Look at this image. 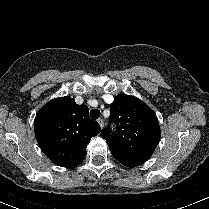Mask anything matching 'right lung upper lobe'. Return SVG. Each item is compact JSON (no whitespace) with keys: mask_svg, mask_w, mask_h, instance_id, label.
Segmentation results:
<instances>
[{"mask_svg":"<svg viewBox=\"0 0 209 209\" xmlns=\"http://www.w3.org/2000/svg\"><path fill=\"white\" fill-rule=\"evenodd\" d=\"M35 136L44 154L56 165L73 168L85 158L90 139L99 134V124L90 119L88 107L70 97L56 98L37 113Z\"/></svg>","mask_w":209,"mask_h":209,"instance_id":"obj_1","label":"right lung upper lobe"}]
</instances>
